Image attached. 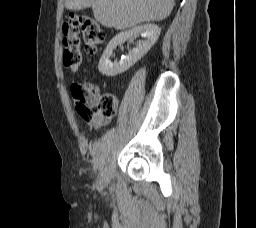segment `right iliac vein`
Returning a JSON list of instances; mask_svg holds the SVG:
<instances>
[{
  "instance_id": "63e3f726",
  "label": "right iliac vein",
  "mask_w": 256,
  "mask_h": 228,
  "mask_svg": "<svg viewBox=\"0 0 256 228\" xmlns=\"http://www.w3.org/2000/svg\"><path fill=\"white\" fill-rule=\"evenodd\" d=\"M116 140H117V135L111 136L110 139L108 140V143L105 144L106 148L103 151L102 156L100 157L102 168L108 166L107 158L109 157V154L112 151V148H111L112 144H114ZM102 176H103V179L105 180V182H111L112 175H111L110 171L107 170L106 168L103 170Z\"/></svg>"
}]
</instances>
